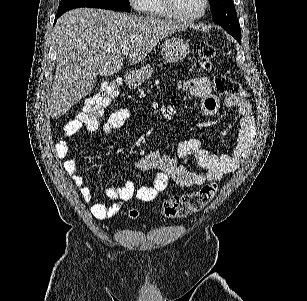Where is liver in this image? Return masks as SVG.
<instances>
[{
	"label": "liver",
	"instance_id": "liver-1",
	"mask_svg": "<svg viewBox=\"0 0 307 301\" xmlns=\"http://www.w3.org/2000/svg\"><path fill=\"white\" fill-rule=\"evenodd\" d=\"M188 26L103 8H74L62 14L53 30L57 60L50 94L52 118H60L87 96L98 74L111 76L121 70L123 46L129 48V64H137L162 38Z\"/></svg>",
	"mask_w": 307,
	"mask_h": 301
}]
</instances>
